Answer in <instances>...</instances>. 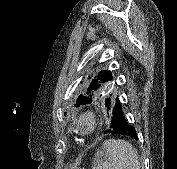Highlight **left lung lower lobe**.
<instances>
[{"instance_id":"left-lung-lower-lobe-1","label":"left lung lower lobe","mask_w":177,"mask_h":169,"mask_svg":"<svg viewBox=\"0 0 177 169\" xmlns=\"http://www.w3.org/2000/svg\"><path fill=\"white\" fill-rule=\"evenodd\" d=\"M104 134H123L130 136L131 138H134L136 140L138 139L136 130L132 125L128 123L126 117L124 116L121 104L119 103L118 99H116L115 106L113 107L112 110L111 123L104 131Z\"/></svg>"}]
</instances>
